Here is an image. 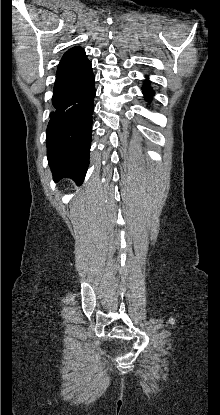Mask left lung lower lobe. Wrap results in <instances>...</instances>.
I'll return each mask as SVG.
<instances>
[{
    "instance_id": "obj_1",
    "label": "left lung lower lobe",
    "mask_w": 220,
    "mask_h": 415,
    "mask_svg": "<svg viewBox=\"0 0 220 415\" xmlns=\"http://www.w3.org/2000/svg\"><path fill=\"white\" fill-rule=\"evenodd\" d=\"M143 93L145 95V98L147 100H151V97L154 95V91L152 90L151 87H149V81H147V83L143 86Z\"/></svg>"
}]
</instances>
